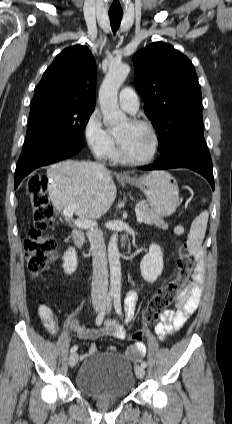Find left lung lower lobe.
<instances>
[{"instance_id":"obj_1","label":"left lung lower lobe","mask_w":232,"mask_h":424,"mask_svg":"<svg viewBox=\"0 0 232 424\" xmlns=\"http://www.w3.org/2000/svg\"><path fill=\"white\" fill-rule=\"evenodd\" d=\"M162 157L154 164L143 166L142 170H163L185 167L203 175L214 190L212 160L208 151L203 127L197 126L180 133L161 152Z\"/></svg>"}]
</instances>
